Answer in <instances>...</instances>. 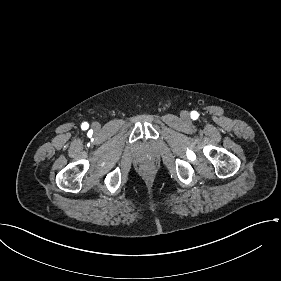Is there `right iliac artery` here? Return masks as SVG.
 Returning a JSON list of instances; mask_svg holds the SVG:
<instances>
[{"instance_id":"82829eb1","label":"right iliac artery","mask_w":281,"mask_h":281,"mask_svg":"<svg viewBox=\"0 0 281 281\" xmlns=\"http://www.w3.org/2000/svg\"><path fill=\"white\" fill-rule=\"evenodd\" d=\"M82 127H83V129H87L88 124H87V123H83V124H82Z\"/></svg>"}]
</instances>
